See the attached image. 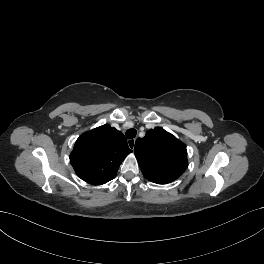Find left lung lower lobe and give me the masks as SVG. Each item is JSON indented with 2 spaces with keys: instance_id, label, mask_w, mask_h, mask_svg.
<instances>
[{
  "instance_id": "left-lung-lower-lobe-1",
  "label": "left lung lower lobe",
  "mask_w": 264,
  "mask_h": 264,
  "mask_svg": "<svg viewBox=\"0 0 264 264\" xmlns=\"http://www.w3.org/2000/svg\"><path fill=\"white\" fill-rule=\"evenodd\" d=\"M155 183H157V182H155ZM158 184H166V183H158Z\"/></svg>"
}]
</instances>
